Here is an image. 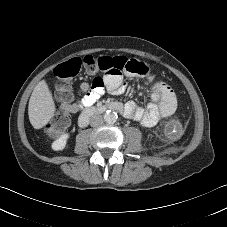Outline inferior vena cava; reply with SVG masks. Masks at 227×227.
I'll use <instances>...</instances> for the list:
<instances>
[{
    "mask_svg": "<svg viewBox=\"0 0 227 227\" xmlns=\"http://www.w3.org/2000/svg\"><path fill=\"white\" fill-rule=\"evenodd\" d=\"M103 123V117L100 114H95L90 118V125L93 127L99 126Z\"/></svg>",
    "mask_w": 227,
    "mask_h": 227,
    "instance_id": "obj_1",
    "label": "inferior vena cava"
}]
</instances>
